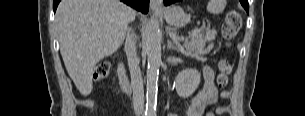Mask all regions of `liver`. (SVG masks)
I'll list each match as a JSON object with an SVG mask.
<instances>
[{
  "label": "liver",
  "instance_id": "6515ba94",
  "mask_svg": "<svg viewBox=\"0 0 305 116\" xmlns=\"http://www.w3.org/2000/svg\"><path fill=\"white\" fill-rule=\"evenodd\" d=\"M137 13L120 0H62L55 23L66 70L84 96L93 89L96 64L122 45Z\"/></svg>",
  "mask_w": 305,
  "mask_h": 116
}]
</instances>
